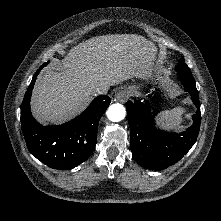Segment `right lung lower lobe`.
<instances>
[{
    "mask_svg": "<svg viewBox=\"0 0 221 221\" xmlns=\"http://www.w3.org/2000/svg\"><path fill=\"white\" fill-rule=\"evenodd\" d=\"M41 68L25 93L21 105V125L30 153L47 166L68 170L89 158L97 140L98 122L111 102L106 95L96 97L89 107L74 120L59 125L44 127L30 111L31 91Z\"/></svg>",
    "mask_w": 221,
    "mask_h": 221,
    "instance_id": "98d812e1",
    "label": "right lung lower lobe"
}]
</instances>
